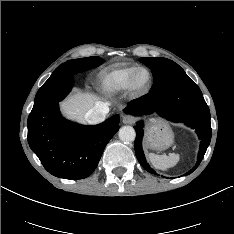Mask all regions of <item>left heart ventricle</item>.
Segmentation results:
<instances>
[{"label": "left heart ventricle", "mask_w": 234, "mask_h": 234, "mask_svg": "<svg viewBox=\"0 0 234 234\" xmlns=\"http://www.w3.org/2000/svg\"><path fill=\"white\" fill-rule=\"evenodd\" d=\"M149 83V74L146 71H142L136 78V87L138 89H144Z\"/></svg>", "instance_id": "obj_1"}]
</instances>
